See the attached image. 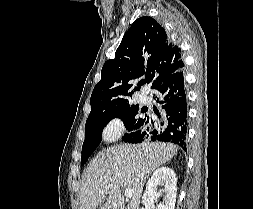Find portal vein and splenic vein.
Segmentation results:
<instances>
[{
    "label": "portal vein and splenic vein",
    "instance_id": "obj_1",
    "mask_svg": "<svg viewBox=\"0 0 253 209\" xmlns=\"http://www.w3.org/2000/svg\"><path fill=\"white\" fill-rule=\"evenodd\" d=\"M132 194H133V192H132L131 189L127 188V189L125 190V196H126L127 198H131V197H132Z\"/></svg>",
    "mask_w": 253,
    "mask_h": 209
}]
</instances>
